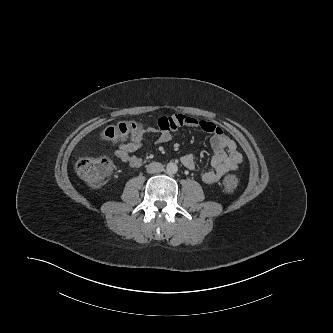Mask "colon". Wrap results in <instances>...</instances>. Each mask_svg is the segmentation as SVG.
Here are the masks:
<instances>
[{
	"label": "colon",
	"mask_w": 333,
	"mask_h": 333,
	"mask_svg": "<svg viewBox=\"0 0 333 333\" xmlns=\"http://www.w3.org/2000/svg\"><path fill=\"white\" fill-rule=\"evenodd\" d=\"M141 131V125L136 122H121L107 127L102 133V139L108 142L125 141ZM76 172L90 186L100 187L112 176L114 166L106 157H83L77 161ZM238 184L239 179L235 175L228 174L223 179L226 190L232 191Z\"/></svg>",
	"instance_id": "5ec220e1"
}]
</instances>
